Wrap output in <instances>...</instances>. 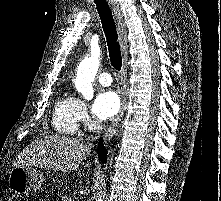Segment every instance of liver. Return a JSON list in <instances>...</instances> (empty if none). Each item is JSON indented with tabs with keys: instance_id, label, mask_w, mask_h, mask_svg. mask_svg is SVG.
Returning a JSON list of instances; mask_svg holds the SVG:
<instances>
[{
	"instance_id": "6515ba94",
	"label": "liver",
	"mask_w": 221,
	"mask_h": 201,
	"mask_svg": "<svg viewBox=\"0 0 221 201\" xmlns=\"http://www.w3.org/2000/svg\"><path fill=\"white\" fill-rule=\"evenodd\" d=\"M90 147L76 139L49 135L32 142L16 159L14 167L35 166L62 172L74 171L90 154ZM88 162L86 167H90ZM84 175V174H83ZM81 177V173H79Z\"/></svg>"
}]
</instances>
